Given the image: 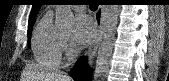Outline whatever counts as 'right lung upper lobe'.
I'll return each mask as SVG.
<instances>
[{"instance_id": "right-lung-upper-lobe-1", "label": "right lung upper lobe", "mask_w": 169, "mask_h": 81, "mask_svg": "<svg viewBox=\"0 0 169 81\" xmlns=\"http://www.w3.org/2000/svg\"><path fill=\"white\" fill-rule=\"evenodd\" d=\"M41 4L39 2H37L36 4L33 5L31 13H30V17H29V23L30 22H35V18H36V14L40 8Z\"/></svg>"}]
</instances>
